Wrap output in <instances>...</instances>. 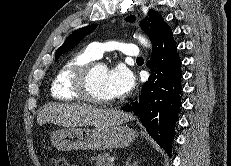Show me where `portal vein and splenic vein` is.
Wrapping results in <instances>:
<instances>
[{
    "label": "portal vein and splenic vein",
    "instance_id": "portal-vein-and-splenic-vein-1",
    "mask_svg": "<svg viewBox=\"0 0 231 166\" xmlns=\"http://www.w3.org/2000/svg\"><path fill=\"white\" fill-rule=\"evenodd\" d=\"M108 161H109L110 163H114L115 158H114V157H110V158L108 159Z\"/></svg>",
    "mask_w": 231,
    "mask_h": 166
}]
</instances>
